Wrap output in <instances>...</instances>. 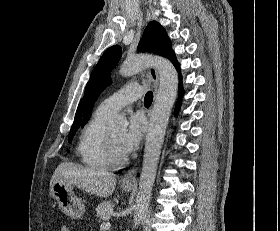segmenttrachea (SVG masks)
Instances as JSON below:
<instances>
[{"instance_id": "obj_1", "label": "trachea", "mask_w": 280, "mask_h": 231, "mask_svg": "<svg viewBox=\"0 0 280 231\" xmlns=\"http://www.w3.org/2000/svg\"><path fill=\"white\" fill-rule=\"evenodd\" d=\"M152 100H153L152 91H148L145 95V98H144V104H145L146 108H149V106L152 103Z\"/></svg>"}]
</instances>
